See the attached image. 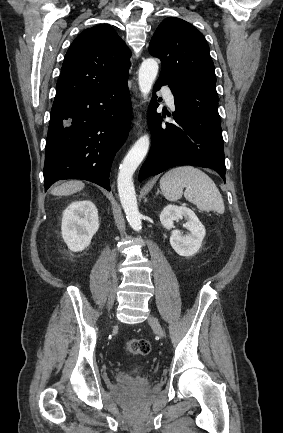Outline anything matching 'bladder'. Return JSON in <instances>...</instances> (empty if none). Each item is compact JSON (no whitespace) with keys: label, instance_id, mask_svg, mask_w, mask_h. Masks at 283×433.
<instances>
[{"label":"bladder","instance_id":"1","mask_svg":"<svg viewBox=\"0 0 283 433\" xmlns=\"http://www.w3.org/2000/svg\"><path fill=\"white\" fill-rule=\"evenodd\" d=\"M139 371H144V366L142 364L139 365Z\"/></svg>","mask_w":283,"mask_h":433}]
</instances>
